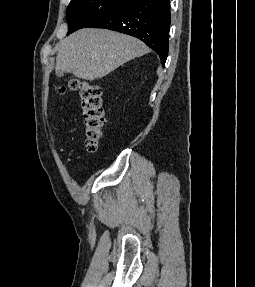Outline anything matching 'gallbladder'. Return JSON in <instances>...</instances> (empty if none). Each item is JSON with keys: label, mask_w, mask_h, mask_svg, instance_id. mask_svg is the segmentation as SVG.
I'll return each mask as SVG.
<instances>
[{"label": "gallbladder", "mask_w": 255, "mask_h": 287, "mask_svg": "<svg viewBox=\"0 0 255 287\" xmlns=\"http://www.w3.org/2000/svg\"><path fill=\"white\" fill-rule=\"evenodd\" d=\"M57 78H62L64 76L65 72L63 70H59V68H56L55 70Z\"/></svg>", "instance_id": "1"}]
</instances>
